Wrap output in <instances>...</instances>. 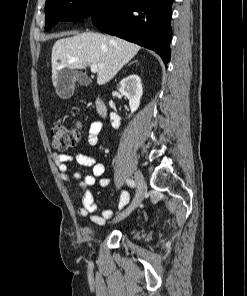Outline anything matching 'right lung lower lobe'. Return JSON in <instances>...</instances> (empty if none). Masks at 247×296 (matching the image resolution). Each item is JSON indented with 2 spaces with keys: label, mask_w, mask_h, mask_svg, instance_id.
Returning <instances> with one entry per match:
<instances>
[{
  "label": "right lung lower lobe",
  "mask_w": 247,
  "mask_h": 296,
  "mask_svg": "<svg viewBox=\"0 0 247 296\" xmlns=\"http://www.w3.org/2000/svg\"><path fill=\"white\" fill-rule=\"evenodd\" d=\"M173 0H111L104 12L94 13L96 27L155 51L170 61Z\"/></svg>",
  "instance_id": "right-lung-lower-lobe-1"
}]
</instances>
